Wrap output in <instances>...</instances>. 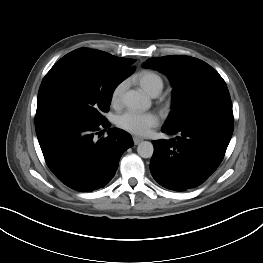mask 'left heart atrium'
<instances>
[{
  "label": "left heart atrium",
  "mask_w": 263,
  "mask_h": 263,
  "mask_svg": "<svg viewBox=\"0 0 263 263\" xmlns=\"http://www.w3.org/2000/svg\"><path fill=\"white\" fill-rule=\"evenodd\" d=\"M115 122L119 128L125 131L136 135H147L151 128L157 126L159 119L151 112L140 113L129 110L119 114Z\"/></svg>",
  "instance_id": "left-heart-atrium-1"
}]
</instances>
